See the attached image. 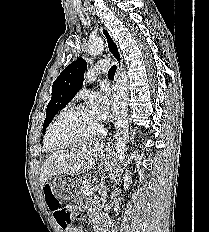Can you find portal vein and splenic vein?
<instances>
[{
    "mask_svg": "<svg viewBox=\"0 0 209 232\" xmlns=\"http://www.w3.org/2000/svg\"><path fill=\"white\" fill-rule=\"evenodd\" d=\"M96 189H97V186H94V187L90 188V190L86 192V195L91 196Z\"/></svg>",
    "mask_w": 209,
    "mask_h": 232,
    "instance_id": "obj_1",
    "label": "portal vein and splenic vein"
}]
</instances>
